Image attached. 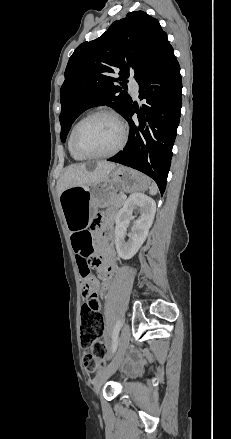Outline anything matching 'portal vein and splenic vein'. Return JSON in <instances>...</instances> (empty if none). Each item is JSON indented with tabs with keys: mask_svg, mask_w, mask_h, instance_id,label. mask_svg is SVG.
<instances>
[{
	"mask_svg": "<svg viewBox=\"0 0 231 439\" xmlns=\"http://www.w3.org/2000/svg\"><path fill=\"white\" fill-rule=\"evenodd\" d=\"M122 198L125 200L126 199V195H122Z\"/></svg>",
	"mask_w": 231,
	"mask_h": 439,
	"instance_id": "portal-vein-and-splenic-vein-1",
	"label": "portal vein and splenic vein"
}]
</instances>
